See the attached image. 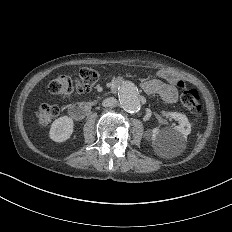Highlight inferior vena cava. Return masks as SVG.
I'll list each match as a JSON object with an SVG mask.
<instances>
[{"label": "inferior vena cava", "instance_id": "602c4592", "mask_svg": "<svg viewBox=\"0 0 232 232\" xmlns=\"http://www.w3.org/2000/svg\"><path fill=\"white\" fill-rule=\"evenodd\" d=\"M115 103H116V99H115V98H113V97H108V98H105V99L102 101V106H104V107H109V106H113Z\"/></svg>", "mask_w": 232, "mask_h": 232}]
</instances>
